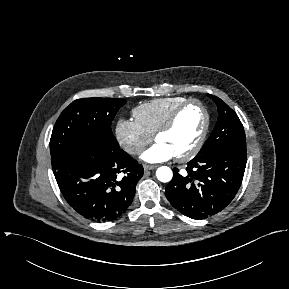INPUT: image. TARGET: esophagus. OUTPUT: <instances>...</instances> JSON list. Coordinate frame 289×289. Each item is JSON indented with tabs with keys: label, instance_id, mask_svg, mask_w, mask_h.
Returning <instances> with one entry per match:
<instances>
[{
	"label": "esophagus",
	"instance_id": "esophagus-1",
	"mask_svg": "<svg viewBox=\"0 0 289 289\" xmlns=\"http://www.w3.org/2000/svg\"><path fill=\"white\" fill-rule=\"evenodd\" d=\"M157 166L155 165H144L143 168L145 171H148V170H153L155 169Z\"/></svg>",
	"mask_w": 289,
	"mask_h": 289
}]
</instances>
